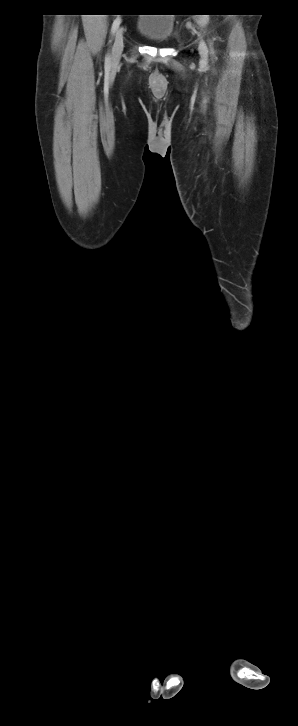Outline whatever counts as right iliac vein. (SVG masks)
Returning a JSON list of instances; mask_svg holds the SVG:
<instances>
[{
    "label": "right iliac vein",
    "instance_id": "right-iliac-vein-1",
    "mask_svg": "<svg viewBox=\"0 0 298 726\" xmlns=\"http://www.w3.org/2000/svg\"><path fill=\"white\" fill-rule=\"evenodd\" d=\"M123 51V29L117 30L112 48V59L118 61Z\"/></svg>",
    "mask_w": 298,
    "mask_h": 726
}]
</instances>
